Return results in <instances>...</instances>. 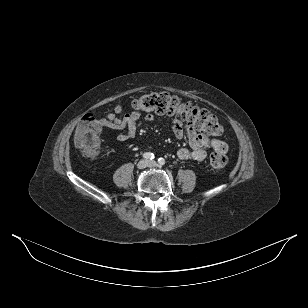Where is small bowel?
I'll return each mask as SVG.
<instances>
[{
	"label": "small bowel",
	"instance_id": "small-bowel-1",
	"mask_svg": "<svg viewBox=\"0 0 308 308\" xmlns=\"http://www.w3.org/2000/svg\"><path fill=\"white\" fill-rule=\"evenodd\" d=\"M155 118L156 116L152 113L142 115L137 110L131 113H124L122 106L117 105L114 108V112L100 119V122L102 127L119 130L118 141L126 142L133 139L145 123H150ZM172 131L176 138H182L186 135L189 142V148L182 147L177 151V156L181 160L203 161L207 157L205 149L208 147L222 154L227 153L228 145L226 142L198 133L196 129L189 125L185 126L180 120H172Z\"/></svg>",
	"mask_w": 308,
	"mask_h": 308
}]
</instances>
